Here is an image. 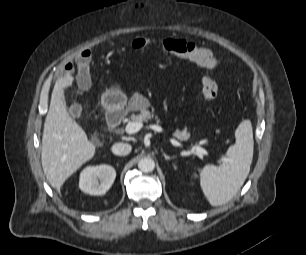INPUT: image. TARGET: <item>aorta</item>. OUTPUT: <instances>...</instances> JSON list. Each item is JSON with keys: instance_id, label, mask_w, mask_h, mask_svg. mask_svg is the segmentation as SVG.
<instances>
[{"instance_id": "obj_1", "label": "aorta", "mask_w": 306, "mask_h": 255, "mask_svg": "<svg viewBox=\"0 0 306 255\" xmlns=\"http://www.w3.org/2000/svg\"><path fill=\"white\" fill-rule=\"evenodd\" d=\"M138 168L140 171L145 173L152 172L155 168V162L152 158H142L138 162Z\"/></svg>"}]
</instances>
